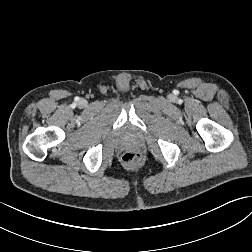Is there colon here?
Returning a JSON list of instances; mask_svg holds the SVG:
<instances>
[{
    "instance_id": "colon-1",
    "label": "colon",
    "mask_w": 252,
    "mask_h": 252,
    "mask_svg": "<svg viewBox=\"0 0 252 252\" xmlns=\"http://www.w3.org/2000/svg\"><path fill=\"white\" fill-rule=\"evenodd\" d=\"M140 159V155L136 152H127L123 156V161L128 164H136Z\"/></svg>"
}]
</instances>
